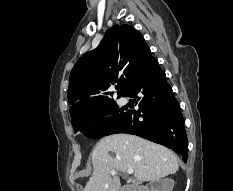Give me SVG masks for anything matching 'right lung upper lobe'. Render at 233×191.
<instances>
[{
  "mask_svg": "<svg viewBox=\"0 0 233 191\" xmlns=\"http://www.w3.org/2000/svg\"><path fill=\"white\" fill-rule=\"evenodd\" d=\"M151 56L143 36L132 26L109 29L100 45L84 54L70 73L71 117L112 101L109 87L116 82L121 83L118 94L125 96Z\"/></svg>",
  "mask_w": 233,
  "mask_h": 191,
  "instance_id": "obj_1",
  "label": "right lung upper lobe"
}]
</instances>
